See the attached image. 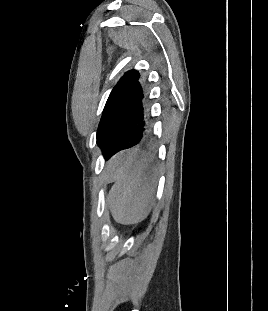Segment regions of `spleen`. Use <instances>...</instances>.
I'll return each instance as SVG.
<instances>
[{
  "label": "spleen",
  "mask_w": 268,
  "mask_h": 311,
  "mask_svg": "<svg viewBox=\"0 0 268 311\" xmlns=\"http://www.w3.org/2000/svg\"><path fill=\"white\" fill-rule=\"evenodd\" d=\"M121 163L113 169V184L107 204L114 220L123 225L136 224L149 214L157 177L153 161L135 145L120 154Z\"/></svg>",
  "instance_id": "1"
}]
</instances>
